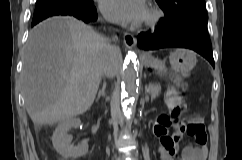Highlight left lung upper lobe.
Masks as SVG:
<instances>
[{
  "instance_id": "left-lung-upper-lobe-1",
  "label": "left lung upper lobe",
  "mask_w": 242,
  "mask_h": 160,
  "mask_svg": "<svg viewBox=\"0 0 242 160\" xmlns=\"http://www.w3.org/2000/svg\"><path fill=\"white\" fill-rule=\"evenodd\" d=\"M165 12L166 23L181 26L187 23H207L205 0H156Z\"/></svg>"
}]
</instances>
